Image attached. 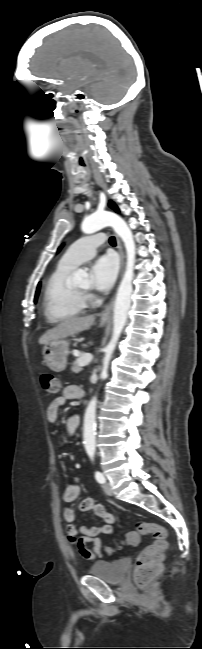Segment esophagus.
Segmentation results:
<instances>
[{"instance_id":"34e87169","label":"esophagus","mask_w":202,"mask_h":649,"mask_svg":"<svg viewBox=\"0 0 202 649\" xmlns=\"http://www.w3.org/2000/svg\"><path fill=\"white\" fill-rule=\"evenodd\" d=\"M116 240H117V248H118V251H119L120 260H121V268H122L123 267V262H124V254H123L122 244H121V241H120V239L118 237H116ZM112 307H113V299L105 307L104 311L102 312V315H101L102 319H108L110 317Z\"/></svg>"}]
</instances>
